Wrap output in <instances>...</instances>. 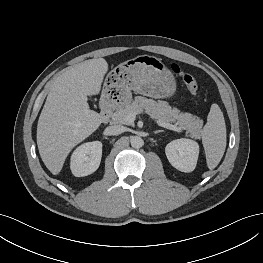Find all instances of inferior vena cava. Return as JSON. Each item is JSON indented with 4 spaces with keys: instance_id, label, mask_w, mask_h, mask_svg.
<instances>
[{
    "instance_id": "1",
    "label": "inferior vena cava",
    "mask_w": 263,
    "mask_h": 263,
    "mask_svg": "<svg viewBox=\"0 0 263 263\" xmlns=\"http://www.w3.org/2000/svg\"><path fill=\"white\" fill-rule=\"evenodd\" d=\"M125 127L119 126V125H113V126H108L105 129V134L107 135H119L123 132H125Z\"/></svg>"
}]
</instances>
